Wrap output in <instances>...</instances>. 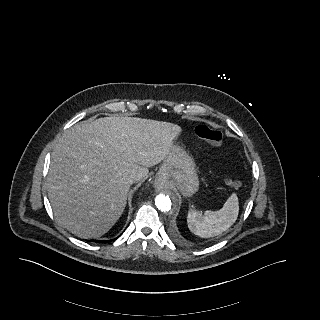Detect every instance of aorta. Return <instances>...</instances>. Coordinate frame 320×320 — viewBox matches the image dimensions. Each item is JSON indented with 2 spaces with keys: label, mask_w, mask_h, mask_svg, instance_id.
Wrapping results in <instances>:
<instances>
[{
  "label": "aorta",
  "mask_w": 320,
  "mask_h": 320,
  "mask_svg": "<svg viewBox=\"0 0 320 320\" xmlns=\"http://www.w3.org/2000/svg\"><path fill=\"white\" fill-rule=\"evenodd\" d=\"M176 206V202L171 193H160L155 198L154 210L158 216L170 214Z\"/></svg>",
  "instance_id": "obj_1"
}]
</instances>
